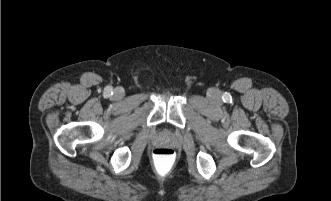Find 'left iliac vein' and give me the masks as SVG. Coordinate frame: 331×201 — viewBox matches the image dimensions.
<instances>
[{"instance_id":"left-iliac-vein-1","label":"left iliac vein","mask_w":331,"mask_h":201,"mask_svg":"<svg viewBox=\"0 0 331 201\" xmlns=\"http://www.w3.org/2000/svg\"><path fill=\"white\" fill-rule=\"evenodd\" d=\"M209 97H210V100L216 101L217 97H218L217 92L216 91H210Z\"/></svg>"}]
</instances>
